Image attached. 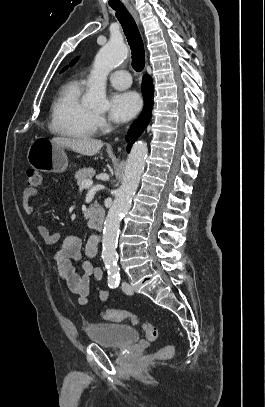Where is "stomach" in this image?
<instances>
[{
    "mask_svg": "<svg viewBox=\"0 0 265 407\" xmlns=\"http://www.w3.org/2000/svg\"><path fill=\"white\" fill-rule=\"evenodd\" d=\"M27 160L31 167L44 173H62L68 166L64 147L38 139L29 147Z\"/></svg>",
    "mask_w": 265,
    "mask_h": 407,
    "instance_id": "obj_1",
    "label": "stomach"
}]
</instances>
